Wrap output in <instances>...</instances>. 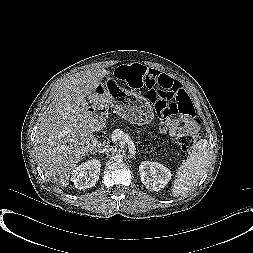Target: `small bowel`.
Returning a JSON list of instances; mask_svg holds the SVG:
<instances>
[{
    "label": "small bowel",
    "mask_w": 253,
    "mask_h": 253,
    "mask_svg": "<svg viewBox=\"0 0 253 253\" xmlns=\"http://www.w3.org/2000/svg\"><path fill=\"white\" fill-rule=\"evenodd\" d=\"M147 81L145 87H155L158 84L169 87H181V84L169 75L155 69H147ZM193 129L192 121L179 116L167 120L163 124V130L172 136H178Z\"/></svg>",
    "instance_id": "1"
}]
</instances>
